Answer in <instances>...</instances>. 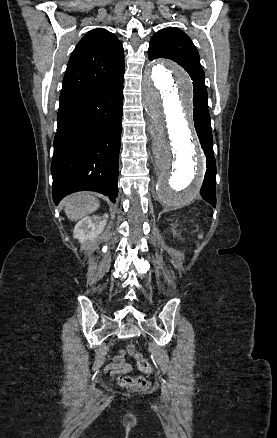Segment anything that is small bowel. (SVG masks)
Returning a JSON list of instances; mask_svg holds the SVG:
<instances>
[{"label":"small bowel","instance_id":"obj_1","mask_svg":"<svg viewBox=\"0 0 277 438\" xmlns=\"http://www.w3.org/2000/svg\"><path fill=\"white\" fill-rule=\"evenodd\" d=\"M107 370H109L113 376H117L130 373L132 371V367L129 363L125 362L123 355L120 354L108 364Z\"/></svg>","mask_w":277,"mask_h":438}]
</instances>
